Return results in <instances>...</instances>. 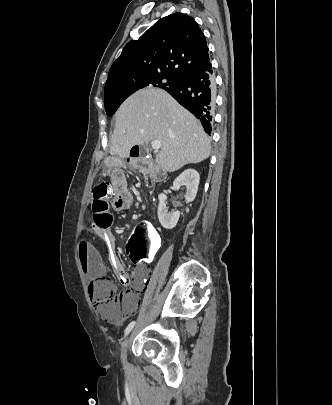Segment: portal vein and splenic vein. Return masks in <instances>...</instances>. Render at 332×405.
Wrapping results in <instances>:
<instances>
[{"label":"portal vein and splenic vein","instance_id":"18ae733b","mask_svg":"<svg viewBox=\"0 0 332 405\" xmlns=\"http://www.w3.org/2000/svg\"><path fill=\"white\" fill-rule=\"evenodd\" d=\"M151 147L154 150H159L161 148V142L158 141V140H154V141L151 142Z\"/></svg>","mask_w":332,"mask_h":405}]
</instances>
